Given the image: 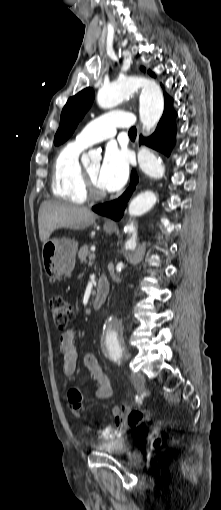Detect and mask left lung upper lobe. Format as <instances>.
<instances>
[{"label":"left lung upper lobe","mask_w":221,"mask_h":510,"mask_svg":"<svg viewBox=\"0 0 221 510\" xmlns=\"http://www.w3.org/2000/svg\"><path fill=\"white\" fill-rule=\"evenodd\" d=\"M142 70L145 71L144 68H142ZM149 74L154 76V73L150 70ZM93 100L94 91L89 87L69 98L62 110L60 126L54 138L55 145L62 144L73 134L77 124L91 107ZM171 103L172 99L165 94V108L172 107Z\"/></svg>","instance_id":"left-lung-upper-lobe-1"}]
</instances>
